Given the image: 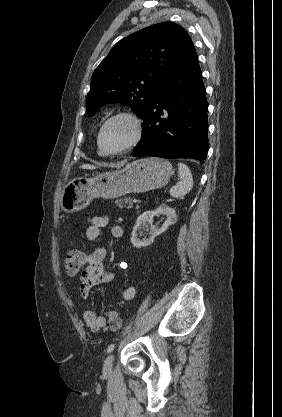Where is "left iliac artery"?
Returning <instances> with one entry per match:
<instances>
[{
  "label": "left iliac artery",
  "instance_id": "1",
  "mask_svg": "<svg viewBox=\"0 0 282 417\" xmlns=\"http://www.w3.org/2000/svg\"><path fill=\"white\" fill-rule=\"evenodd\" d=\"M114 348H115V345H114V344H110V345L108 346V348H107V353L112 352V351L114 350Z\"/></svg>",
  "mask_w": 282,
  "mask_h": 417
}]
</instances>
